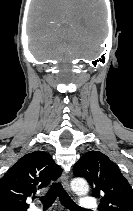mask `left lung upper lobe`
<instances>
[{
	"label": "left lung upper lobe",
	"instance_id": "1",
	"mask_svg": "<svg viewBox=\"0 0 133 211\" xmlns=\"http://www.w3.org/2000/svg\"><path fill=\"white\" fill-rule=\"evenodd\" d=\"M76 177L85 178L100 199L99 211H133V190L118 166L99 151H89L74 165Z\"/></svg>",
	"mask_w": 133,
	"mask_h": 211
}]
</instances>
